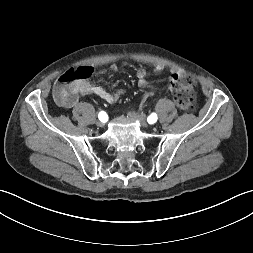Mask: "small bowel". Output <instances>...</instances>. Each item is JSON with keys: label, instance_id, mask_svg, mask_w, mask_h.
<instances>
[{"label": "small bowel", "instance_id": "1", "mask_svg": "<svg viewBox=\"0 0 253 253\" xmlns=\"http://www.w3.org/2000/svg\"><path fill=\"white\" fill-rule=\"evenodd\" d=\"M163 69H164V67L161 64H156L154 66V71L156 73L163 71ZM111 70L117 71L118 67L116 65H112ZM184 74L185 73L182 69L172 68L171 69V80L174 78H177L179 76H182ZM136 77H137L138 85L140 87L143 88V87L147 86V84H148L147 73L144 69H139L136 73ZM124 93H125L124 90L109 92L100 86L93 85L86 80H81V81H78L74 84V94H75L74 99L71 102L63 104V105L68 108L74 106L77 102L78 96H80V95H95L108 103H114V102L118 101Z\"/></svg>", "mask_w": 253, "mask_h": 253}]
</instances>
